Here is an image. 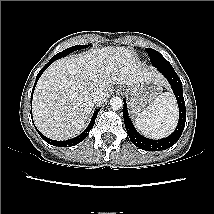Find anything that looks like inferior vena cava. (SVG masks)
Returning a JSON list of instances; mask_svg holds the SVG:
<instances>
[{
	"label": "inferior vena cava",
	"mask_w": 214,
	"mask_h": 214,
	"mask_svg": "<svg viewBox=\"0 0 214 214\" xmlns=\"http://www.w3.org/2000/svg\"><path fill=\"white\" fill-rule=\"evenodd\" d=\"M107 97V93L102 90H95L88 94L89 101L95 105L104 103Z\"/></svg>",
	"instance_id": "602c4592"
}]
</instances>
